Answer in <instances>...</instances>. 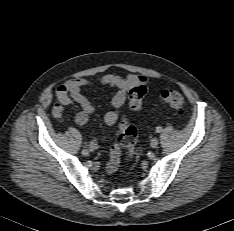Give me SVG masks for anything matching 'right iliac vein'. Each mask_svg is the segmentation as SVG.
Returning <instances> with one entry per match:
<instances>
[{
    "label": "right iliac vein",
    "instance_id": "63e3f726",
    "mask_svg": "<svg viewBox=\"0 0 234 231\" xmlns=\"http://www.w3.org/2000/svg\"><path fill=\"white\" fill-rule=\"evenodd\" d=\"M88 154H89V150H87V149L82 150L83 156H87Z\"/></svg>",
    "mask_w": 234,
    "mask_h": 231
}]
</instances>
